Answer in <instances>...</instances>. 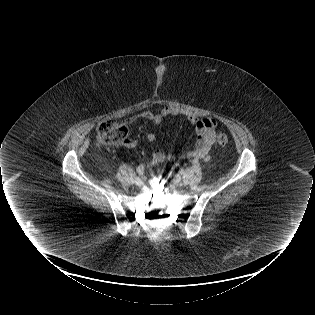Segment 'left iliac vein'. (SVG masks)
Listing matches in <instances>:
<instances>
[{"label": "left iliac vein", "instance_id": "4c4485c4", "mask_svg": "<svg viewBox=\"0 0 315 315\" xmlns=\"http://www.w3.org/2000/svg\"><path fill=\"white\" fill-rule=\"evenodd\" d=\"M181 181H182V177L179 174L174 175L172 178V182L174 184H179V183H181Z\"/></svg>", "mask_w": 315, "mask_h": 315}]
</instances>
